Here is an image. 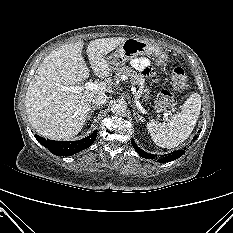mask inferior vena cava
<instances>
[{
  "label": "inferior vena cava",
  "instance_id": "obj_1",
  "mask_svg": "<svg viewBox=\"0 0 233 233\" xmlns=\"http://www.w3.org/2000/svg\"><path fill=\"white\" fill-rule=\"evenodd\" d=\"M106 100H107V96L105 94H99V95H95L91 99V102L96 106H102L103 104L106 103Z\"/></svg>",
  "mask_w": 233,
  "mask_h": 233
}]
</instances>
